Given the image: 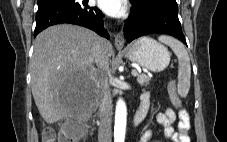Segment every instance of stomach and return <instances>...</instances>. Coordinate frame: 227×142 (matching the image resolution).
<instances>
[{
  "mask_svg": "<svg viewBox=\"0 0 227 142\" xmlns=\"http://www.w3.org/2000/svg\"><path fill=\"white\" fill-rule=\"evenodd\" d=\"M125 57L151 72L163 71L170 62L167 48L150 37H142L124 51Z\"/></svg>",
  "mask_w": 227,
  "mask_h": 142,
  "instance_id": "stomach-1",
  "label": "stomach"
}]
</instances>
